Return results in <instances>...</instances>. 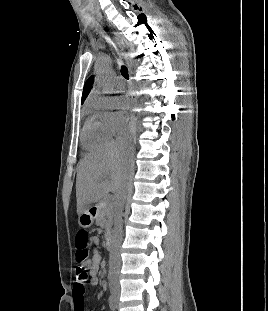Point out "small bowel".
Instances as JSON below:
<instances>
[{
    "label": "small bowel",
    "mask_w": 268,
    "mask_h": 311,
    "mask_svg": "<svg viewBox=\"0 0 268 311\" xmlns=\"http://www.w3.org/2000/svg\"><path fill=\"white\" fill-rule=\"evenodd\" d=\"M93 250H92V258L90 259L88 272H89V285H97L99 282V271L101 265V252H100V242L97 237H93ZM84 286L83 282L76 281L73 291V303H74V311H85L84 305V293L80 291V287Z\"/></svg>",
    "instance_id": "small-bowel-1"
}]
</instances>
